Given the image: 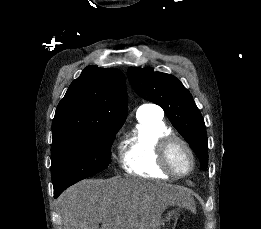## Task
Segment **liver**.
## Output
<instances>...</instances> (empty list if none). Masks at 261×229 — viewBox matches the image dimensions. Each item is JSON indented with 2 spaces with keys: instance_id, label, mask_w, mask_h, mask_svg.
Returning a JSON list of instances; mask_svg holds the SVG:
<instances>
[{
  "instance_id": "obj_1",
  "label": "liver",
  "mask_w": 261,
  "mask_h": 229,
  "mask_svg": "<svg viewBox=\"0 0 261 229\" xmlns=\"http://www.w3.org/2000/svg\"><path fill=\"white\" fill-rule=\"evenodd\" d=\"M191 201L190 191L143 179H85L60 201L64 229H156L169 203Z\"/></svg>"
}]
</instances>
